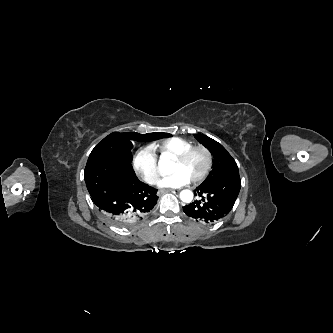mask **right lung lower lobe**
Returning a JSON list of instances; mask_svg holds the SVG:
<instances>
[{
	"label": "right lung lower lobe",
	"instance_id": "1",
	"mask_svg": "<svg viewBox=\"0 0 333 333\" xmlns=\"http://www.w3.org/2000/svg\"><path fill=\"white\" fill-rule=\"evenodd\" d=\"M84 178L103 216L117 227L142 220L156 205V189L138 180L133 168L109 160L88 161Z\"/></svg>",
	"mask_w": 333,
	"mask_h": 333
}]
</instances>
